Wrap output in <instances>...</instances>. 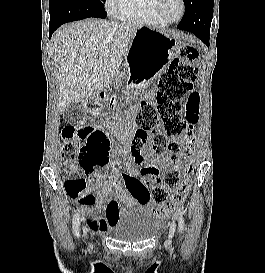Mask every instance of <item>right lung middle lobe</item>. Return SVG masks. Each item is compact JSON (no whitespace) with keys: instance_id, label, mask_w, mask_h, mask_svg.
<instances>
[{"instance_id":"obj_1","label":"right lung middle lobe","mask_w":265,"mask_h":273,"mask_svg":"<svg viewBox=\"0 0 265 273\" xmlns=\"http://www.w3.org/2000/svg\"><path fill=\"white\" fill-rule=\"evenodd\" d=\"M105 0H49V26L59 27L89 17L105 18Z\"/></svg>"}]
</instances>
